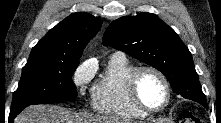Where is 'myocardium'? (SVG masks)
<instances>
[{
    "instance_id": "myocardium-1",
    "label": "myocardium",
    "mask_w": 221,
    "mask_h": 123,
    "mask_svg": "<svg viewBox=\"0 0 221 123\" xmlns=\"http://www.w3.org/2000/svg\"><path fill=\"white\" fill-rule=\"evenodd\" d=\"M145 72L154 73L156 76H158L160 78V80L164 84V87L166 90V99H165V102L160 107L151 108V107L147 106L140 98V95L138 92V82H139L141 75ZM127 90H128L129 97H130L131 101L133 102V104L138 109H140L141 111H143L147 114L158 113V112L163 111L164 109H166L168 107V105L171 102V98H172V89H171V85H170L168 78L161 70H159L158 68H156L154 66H150V65L137 67L131 73V75L129 76V78L127 80Z\"/></svg>"
}]
</instances>
